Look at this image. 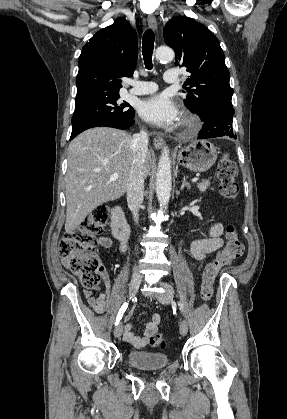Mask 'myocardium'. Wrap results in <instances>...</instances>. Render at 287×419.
Returning <instances> with one entry per match:
<instances>
[{
	"instance_id": "1",
	"label": "myocardium",
	"mask_w": 287,
	"mask_h": 419,
	"mask_svg": "<svg viewBox=\"0 0 287 419\" xmlns=\"http://www.w3.org/2000/svg\"><path fill=\"white\" fill-rule=\"evenodd\" d=\"M183 128L185 133H192L198 129V122L195 118L186 117L183 120Z\"/></svg>"
}]
</instances>
